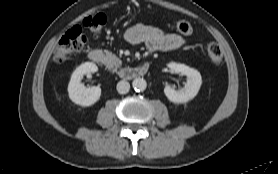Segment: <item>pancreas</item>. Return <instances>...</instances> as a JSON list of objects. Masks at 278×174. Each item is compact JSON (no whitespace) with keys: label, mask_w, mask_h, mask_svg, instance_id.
Listing matches in <instances>:
<instances>
[{"label":"pancreas","mask_w":278,"mask_h":174,"mask_svg":"<svg viewBox=\"0 0 278 174\" xmlns=\"http://www.w3.org/2000/svg\"><path fill=\"white\" fill-rule=\"evenodd\" d=\"M116 60H117V58H116V56L114 54H112L111 52H106L105 64L109 68H113L114 67ZM120 65H121V61H118V63L116 64V68H118Z\"/></svg>","instance_id":"pancreas-1"}]
</instances>
